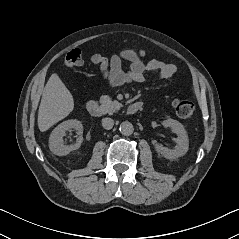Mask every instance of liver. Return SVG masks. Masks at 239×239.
Listing matches in <instances>:
<instances>
[{
	"instance_id": "6515ba94",
	"label": "liver",
	"mask_w": 239,
	"mask_h": 239,
	"mask_svg": "<svg viewBox=\"0 0 239 239\" xmlns=\"http://www.w3.org/2000/svg\"><path fill=\"white\" fill-rule=\"evenodd\" d=\"M74 108V99L60 77L53 73L44 88L38 110V128L41 132L67 117Z\"/></svg>"
}]
</instances>
